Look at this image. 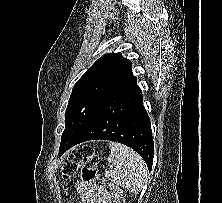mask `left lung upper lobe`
I'll use <instances>...</instances> for the list:
<instances>
[{"label":"left lung upper lobe","instance_id":"left-lung-upper-lobe-1","mask_svg":"<svg viewBox=\"0 0 222 203\" xmlns=\"http://www.w3.org/2000/svg\"><path fill=\"white\" fill-rule=\"evenodd\" d=\"M131 65L120 53L106 54L76 82L65 112L60 147L72 142L103 102L132 77Z\"/></svg>","mask_w":222,"mask_h":203}]
</instances>
